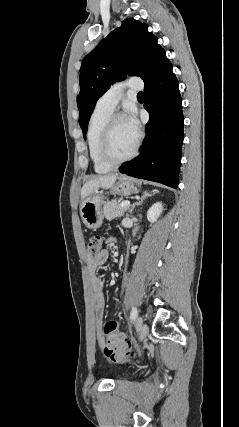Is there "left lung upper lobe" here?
Returning <instances> with one entry per match:
<instances>
[{
	"mask_svg": "<svg viewBox=\"0 0 239 427\" xmlns=\"http://www.w3.org/2000/svg\"><path fill=\"white\" fill-rule=\"evenodd\" d=\"M147 29L145 23L125 19L121 27L112 31L83 59L77 105L84 137L97 100L111 84L127 74L139 76L146 82L169 61L157 37Z\"/></svg>",
	"mask_w": 239,
	"mask_h": 427,
	"instance_id": "left-lung-upper-lobe-1",
	"label": "left lung upper lobe"
}]
</instances>
